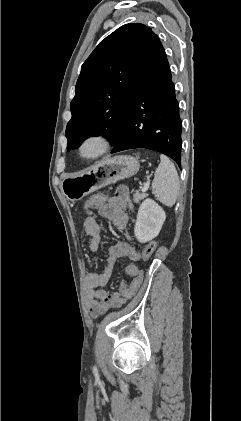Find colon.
<instances>
[{"label": "colon", "instance_id": "obj_1", "mask_svg": "<svg viewBox=\"0 0 241 421\" xmlns=\"http://www.w3.org/2000/svg\"><path fill=\"white\" fill-rule=\"evenodd\" d=\"M107 200V195L103 193L94 194L86 202V209L88 211H91L95 208H98L105 204ZM157 248V242L153 241L150 242L142 251L141 258L142 260L146 261L151 258L154 251ZM125 273L128 276L134 277L132 283L130 285H127L125 282H121L120 288H119V294L121 297L125 300L130 299L136 291L139 289L142 281H143V272L139 269L136 263L130 262L125 267Z\"/></svg>", "mask_w": 241, "mask_h": 421}]
</instances>
